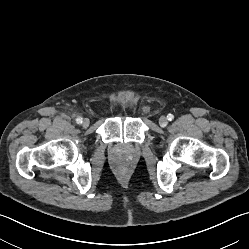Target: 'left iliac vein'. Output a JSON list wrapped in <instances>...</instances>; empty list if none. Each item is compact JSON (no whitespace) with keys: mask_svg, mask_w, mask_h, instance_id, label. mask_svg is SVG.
<instances>
[{"mask_svg":"<svg viewBox=\"0 0 249 249\" xmlns=\"http://www.w3.org/2000/svg\"><path fill=\"white\" fill-rule=\"evenodd\" d=\"M161 127H165L168 124V120L165 116H161L158 120Z\"/></svg>","mask_w":249,"mask_h":249,"instance_id":"1","label":"left iliac vein"}]
</instances>
